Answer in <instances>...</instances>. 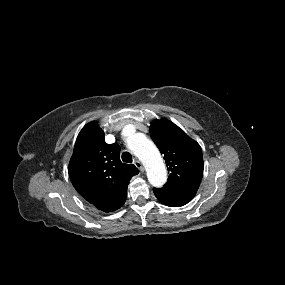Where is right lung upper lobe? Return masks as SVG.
<instances>
[{"mask_svg":"<svg viewBox=\"0 0 285 285\" xmlns=\"http://www.w3.org/2000/svg\"><path fill=\"white\" fill-rule=\"evenodd\" d=\"M96 122L79 133L68 173L76 191L92 208L112 212L123 206L130 179L139 173L133 164L120 161V146L107 144Z\"/></svg>","mask_w":285,"mask_h":285,"instance_id":"right-lung-upper-lobe-1","label":"right lung upper lobe"}]
</instances>
